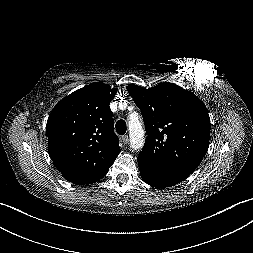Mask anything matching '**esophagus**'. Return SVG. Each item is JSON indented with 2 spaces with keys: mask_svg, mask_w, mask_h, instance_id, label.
I'll return each instance as SVG.
<instances>
[{
  "mask_svg": "<svg viewBox=\"0 0 253 253\" xmlns=\"http://www.w3.org/2000/svg\"><path fill=\"white\" fill-rule=\"evenodd\" d=\"M121 141H122L124 144H127V143L129 142V136H128V135L122 136Z\"/></svg>",
  "mask_w": 253,
  "mask_h": 253,
  "instance_id": "obj_1",
  "label": "esophagus"
}]
</instances>
